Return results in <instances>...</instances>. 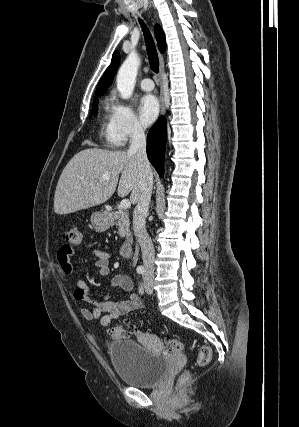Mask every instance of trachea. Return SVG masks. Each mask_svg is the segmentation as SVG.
<instances>
[{"instance_id": "1", "label": "trachea", "mask_w": 299, "mask_h": 427, "mask_svg": "<svg viewBox=\"0 0 299 427\" xmlns=\"http://www.w3.org/2000/svg\"><path fill=\"white\" fill-rule=\"evenodd\" d=\"M140 25H141L142 31L144 33L150 69L154 73H158L159 72V59H158V54H157V50L155 47L154 40H153L148 28L146 27L145 23L142 20H140Z\"/></svg>"}]
</instances>
